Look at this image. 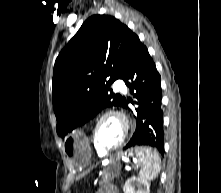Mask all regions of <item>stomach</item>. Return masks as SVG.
I'll use <instances>...</instances> for the list:
<instances>
[{
  "label": "stomach",
  "instance_id": "0dacf381",
  "mask_svg": "<svg viewBox=\"0 0 221 193\" xmlns=\"http://www.w3.org/2000/svg\"><path fill=\"white\" fill-rule=\"evenodd\" d=\"M61 138H65L64 155L74 159L76 167H91V150H88L86 137H81L78 129H73L72 133H61Z\"/></svg>",
  "mask_w": 221,
  "mask_h": 193
}]
</instances>
